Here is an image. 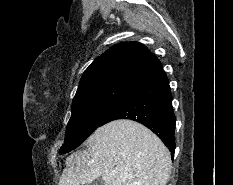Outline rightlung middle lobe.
Wrapping results in <instances>:
<instances>
[{
    "mask_svg": "<svg viewBox=\"0 0 233 185\" xmlns=\"http://www.w3.org/2000/svg\"><path fill=\"white\" fill-rule=\"evenodd\" d=\"M129 91L112 87L89 91L74 97L72 115L60 153H68L78 147L100 126L101 121Z\"/></svg>",
    "mask_w": 233,
    "mask_h": 185,
    "instance_id": "right-lung-middle-lobe-1",
    "label": "right lung middle lobe"
}]
</instances>
